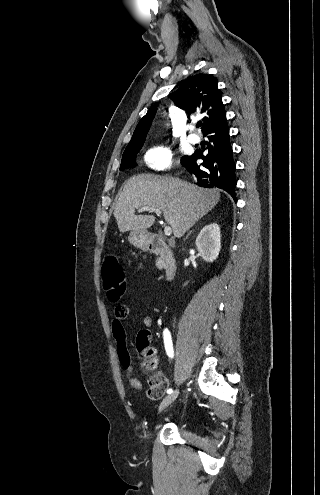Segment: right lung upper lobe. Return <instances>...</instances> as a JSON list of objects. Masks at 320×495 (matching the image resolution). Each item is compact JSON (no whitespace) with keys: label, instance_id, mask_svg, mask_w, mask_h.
Segmentation results:
<instances>
[{"label":"right lung upper lobe","instance_id":"obj_1","mask_svg":"<svg viewBox=\"0 0 320 495\" xmlns=\"http://www.w3.org/2000/svg\"><path fill=\"white\" fill-rule=\"evenodd\" d=\"M169 98L186 113L203 115L202 132L226 119L221 91L217 88L216 78L211 75L200 73L188 78L177 91L169 94ZM157 106L158 104L152 106L139 121L125 150L143 145Z\"/></svg>","mask_w":320,"mask_h":495}]
</instances>
